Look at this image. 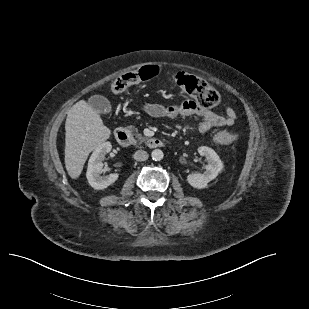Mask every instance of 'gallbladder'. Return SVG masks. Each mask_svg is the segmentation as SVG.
<instances>
[{
  "mask_svg": "<svg viewBox=\"0 0 309 309\" xmlns=\"http://www.w3.org/2000/svg\"><path fill=\"white\" fill-rule=\"evenodd\" d=\"M89 105L99 113H110L111 104L107 98L101 95H93L89 98Z\"/></svg>",
  "mask_w": 309,
  "mask_h": 309,
  "instance_id": "gallbladder-1",
  "label": "gallbladder"
}]
</instances>
